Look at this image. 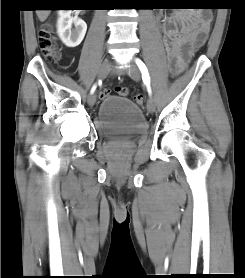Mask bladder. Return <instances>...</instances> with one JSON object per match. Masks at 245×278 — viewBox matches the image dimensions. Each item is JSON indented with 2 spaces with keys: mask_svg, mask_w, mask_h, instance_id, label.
<instances>
[{
  "mask_svg": "<svg viewBox=\"0 0 245 278\" xmlns=\"http://www.w3.org/2000/svg\"><path fill=\"white\" fill-rule=\"evenodd\" d=\"M96 123L101 135L108 140L139 135L146 130L141 108L130 99L116 95L101 101Z\"/></svg>",
  "mask_w": 245,
  "mask_h": 278,
  "instance_id": "bladder-1",
  "label": "bladder"
}]
</instances>
